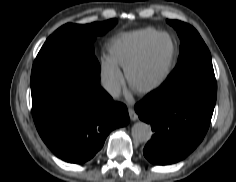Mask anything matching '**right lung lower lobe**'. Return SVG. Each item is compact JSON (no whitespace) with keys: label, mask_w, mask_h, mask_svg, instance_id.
Listing matches in <instances>:
<instances>
[{"label":"right lung lower lobe","mask_w":236,"mask_h":182,"mask_svg":"<svg viewBox=\"0 0 236 182\" xmlns=\"http://www.w3.org/2000/svg\"><path fill=\"white\" fill-rule=\"evenodd\" d=\"M31 93L39 135L57 157L69 163L90 160L113 129L129 122L126 106L114 102L100 85L62 79L35 86Z\"/></svg>","instance_id":"98d812e1"}]
</instances>
